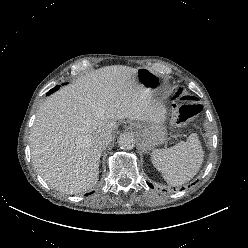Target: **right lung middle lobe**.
Listing matches in <instances>:
<instances>
[{
    "mask_svg": "<svg viewBox=\"0 0 248 248\" xmlns=\"http://www.w3.org/2000/svg\"><path fill=\"white\" fill-rule=\"evenodd\" d=\"M59 86H56L55 88L51 89L47 95H50L51 93L55 92L56 90H58Z\"/></svg>",
    "mask_w": 248,
    "mask_h": 248,
    "instance_id": "obj_1",
    "label": "right lung middle lobe"
}]
</instances>
